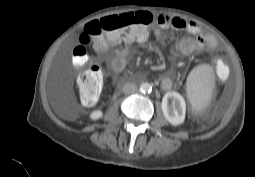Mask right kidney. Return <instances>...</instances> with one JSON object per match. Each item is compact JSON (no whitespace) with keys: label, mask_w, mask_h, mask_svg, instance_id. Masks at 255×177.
Returning a JSON list of instances; mask_svg holds the SVG:
<instances>
[{"label":"right kidney","mask_w":255,"mask_h":177,"mask_svg":"<svg viewBox=\"0 0 255 177\" xmlns=\"http://www.w3.org/2000/svg\"><path fill=\"white\" fill-rule=\"evenodd\" d=\"M103 116V112L101 110H95L90 114V118L92 120H98Z\"/></svg>","instance_id":"1"}]
</instances>
